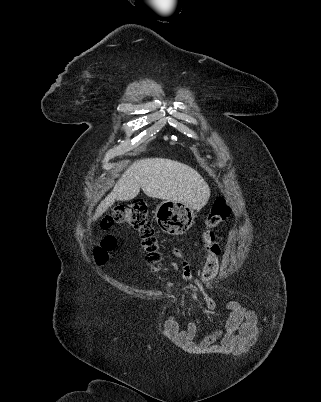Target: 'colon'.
<instances>
[{"label":"colon","instance_id":"5ec220e1","mask_svg":"<svg viewBox=\"0 0 321 402\" xmlns=\"http://www.w3.org/2000/svg\"><path fill=\"white\" fill-rule=\"evenodd\" d=\"M230 214V206L226 199H216L206 218V229L203 232V245L205 250V261L202 275L197 277L201 284H208L213 279L220 265L221 247L214 233V229ZM114 224L126 226L127 228L139 232L143 241V246L148 253V260L152 264L160 263L161 257L158 253V239L155 230L148 217V207L144 202L136 201L134 203L117 207L111 215L103 221L105 228H110ZM116 239L112 236H106L101 244L94 249V257L97 263L106 262L108 255L114 250ZM203 293L209 292L208 286L202 287Z\"/></svg>","mask_w":321,"mask_h":402}]
</instances>
